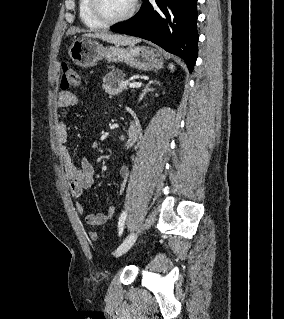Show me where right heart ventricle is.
Returning <instances> with one entry per match:
<instances>
[{"mask_svg": "<svg viewBox=\"0 0 284 319\" xmlns=\"http://www.w3.org/2000/svg\"><path fill=\"white\" fill-rule=\"evenodd\" d=\"M78 14L81 22L91 30H98L105 27L100 21H98L90 10V0L78 1Z\"/></svg>", "mask_w": 284, "mask_h": 319, "instance_id": "1", "label": "right heart ventricle"}]
</instances>
